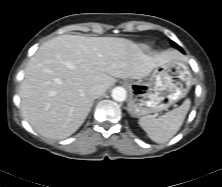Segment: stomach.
Here are the masks:
<instances>
[{
	"label": "stomach",
	"mask_w": 222,
	"mask_h": 187,
	"mask_svg": "<svg viewBox=\"0 0 222 187\" xmlns=\"http://www.w3.org/2000/svg\"><path fill=\"white\" fill-rule=\"evenodd\" d=\"M149 76L128 83L131 94L127 110L133 117L167 110L184 98L192 86V75L184 59H173L159 65Z\"/></svg>",
	"instance_id": "0dacf381"
}]
</instances>
